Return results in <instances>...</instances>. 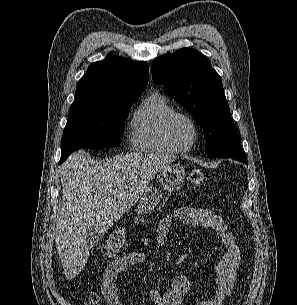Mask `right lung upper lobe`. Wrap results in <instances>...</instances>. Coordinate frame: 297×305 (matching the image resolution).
Masks as SVG:
<instances>
[{
  "mask_svg": "<svg viewBox=\"0 0 297 305\" xmlns=\"http://www.w3.org/2000/svg\"><path fill=\"white\" fill-rule=\"evenodd\" d=\"M146 62H134L112 54L90 64L79 80L71 106L108 103L139 97L148 83Z\"/></svg>",
  "mask_w": 297,
  "mask_h": 305,
  "instance_id": "cb5924a9",
  "label": "right lung upper lobe"
}]
</instances>
